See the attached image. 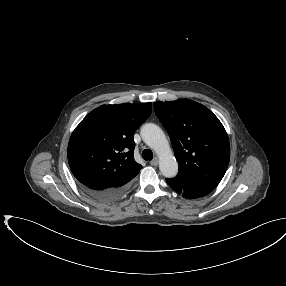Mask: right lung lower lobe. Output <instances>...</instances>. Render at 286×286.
<instances>
[{"label": "right lung lower lobe", "instance_id": "1", "mask_svg": "<svg viewBox=\"0 0 286 286\" xmlns=\"http://www.w3.org/2000/svg\"><path fill=\"white\" fill-rule=\"evenodd\" d=\"M81 189L91 198L99 202H109L120 197L127 189V186L124 187H110L106 189H96L92 187H87L80 184Z\"/></svg>", "mask_w": 286, "mask_h": 286}]
</instances>
